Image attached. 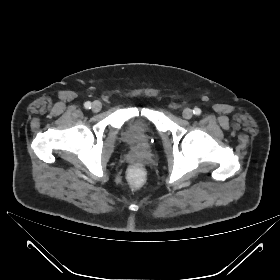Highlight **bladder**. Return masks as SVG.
I'll return each instance as SVG.
<instances>
[{"label": "bladder", "mask_w": 280, "mask_h": 280, "mask_svg": "<svg viewBox=\"0 0 280 280\" xmlns=\"http://www.w3.org/2000/svg\"><path fill=\"white\" fill-rule=\"evenodd\" d=\"M120 137L130 148L143 150L155 139L154 124L145 115L129 116L121 127Z\"/></svg>", "instance_id": "1"}]
</instances>
